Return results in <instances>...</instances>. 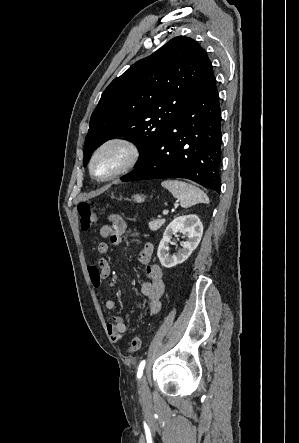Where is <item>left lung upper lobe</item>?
Segmentation results:
<instances>
[{
    "instance_id": "left-lung-upper-lobe-1",
    "label": "left lung upper lobe",
    "mask_w": 299,
    "mask_h": 443,
    "mask_svg": "<svg viewBox=\"0 0 299 443\" xmlns=\"http://www.w3.org/2000/svg\"><path fill=\"white\" fill-rule=\"evenodd\" d=\"M213 75L205 50L185 36L137 61L103 92L90 119L83 165L103 142L128 136L139 142L138 166Z\"/></svg>"
}]
</instances>
